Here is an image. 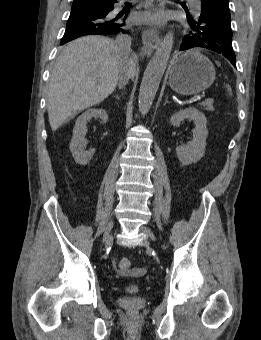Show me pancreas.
Returning a JSON list of instances; mask_svg holds the SVG:
<instances>
[{"label":"pancreas","mask_w":261,"mask_h":340,"mask_svg":"<svg viewBox=\"0 0 261 340\" xmlns=\"http://www.w3.org/2000/svg\"><path fill=\"white\" fill-rule=\"evenodd\" d=\"M201 105L205 108L207 111H214V106H213V100L212 99H207L204 102L201 103Z\"/></svg>","instance_id":"1"}]
</instances>
